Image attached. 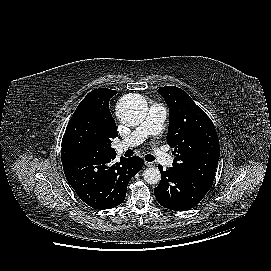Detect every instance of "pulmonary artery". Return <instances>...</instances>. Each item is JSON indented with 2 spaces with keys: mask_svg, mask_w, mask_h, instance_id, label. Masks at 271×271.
I'll list each match as a JSON object with an SVG mask.
<instances>
[{
  "mask_svg": "<svg viewBox=\"0 0 271 271\" xmlns=\"http://www.w3.org/2000/svg\"><path fill=\"white\" fill-rule=\"evenodd\" d=\"M166 115L167 109L165 106L161 104L152 105L145 120L126 139L116 145V151L121 153L128 148L140 145L148 137L158 135L162 130ZM154 156L164 166H170L173 163V158L162 150H156Z\"/></svg>",
  "mask_w": 271,
  "mask_h": 271,
  "instance_id": "1",
  "label": "pulmonary artery"
}]
</instances>
